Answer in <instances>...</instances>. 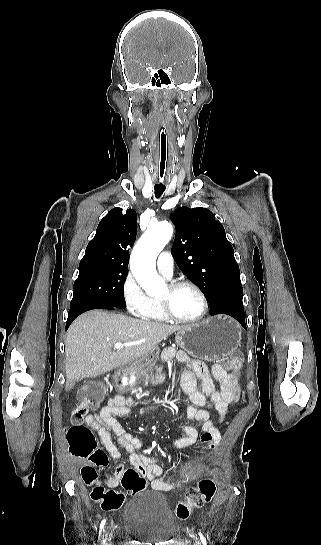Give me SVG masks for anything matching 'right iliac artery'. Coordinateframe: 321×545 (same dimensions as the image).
Listing matches in <instances>:
<instances>
[{"instance_id": "82829eb1", "label": "right iliac artery", "mask_w": 321, "mask_h": 545, "mask_svg": "<svg viewBox=\"0 0 321 545\" xmlns=\"http://www.w3.org/2000/svg\"><path fill=\"white\" fill-rule=\"evenodd\" d=\"M104 524H105V520H103L102 523H101V525H100V529H101V530H100V533H101V531H102V529H103V527H104Z\"/></svg>"}]
</instances>
